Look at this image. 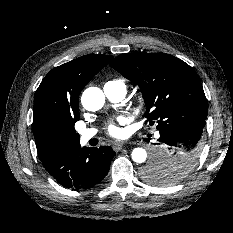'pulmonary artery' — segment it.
<instances>
[{"label":"pulmonary artery","instance_id":"pulmonary-artery-1","mask_svg":"<svg viewBox=\"0 0 233 233\" xmlns=\"http://www.w3.org/2000/svg\"><path fill=\"white\" fill-rule=\"evenodd\" d=\"M104 93L108 99L113 102L121 101L126 94V88L122 86L112 87L109 85L104 86ZM80 140L82 143H86L91 138H93L96 134V130L93 128L90 129H83L79 132Z\"/></svg>","mask_w":233,"mask_h":233}]
</instances>
